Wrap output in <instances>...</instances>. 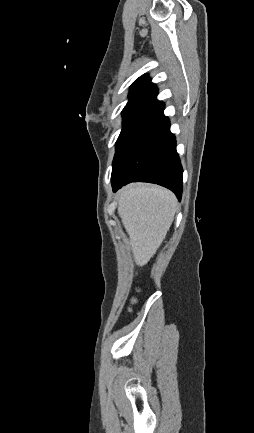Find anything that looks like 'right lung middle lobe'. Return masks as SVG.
Segmentation results:
<instances>
[{"label":"right lung middle lobe","mask_w":254,"mask_h":433,"mask_svg":"<svg viewBox=\"0 0 254 433\" xmlns=\"http://www.w3.org/2000/svg\"><path fill=\"white\" fill-rule=\"evenodd\" d=\"M140 107H142V106H140V105L128 104V105H126L125 108L123 109V111H122V115H123V128H122V131H121V133H120V136H119V138H118V140H117V142H116V147H117L118 144H119V141H120V139H121V137H122L123 130H124V128H125L127 122L130 120V118L133 116V114H134V113H135V112H136Z\"/></svg>","instance_id":"dd1d6c3e"}]
</instances>
